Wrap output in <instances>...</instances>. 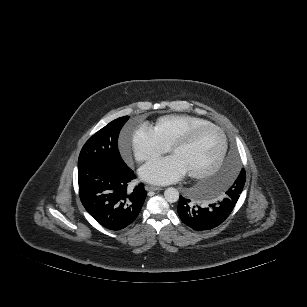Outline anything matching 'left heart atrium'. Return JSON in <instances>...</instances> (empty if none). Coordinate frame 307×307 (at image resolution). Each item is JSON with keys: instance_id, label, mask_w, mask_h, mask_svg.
Here are the masks:
<instances>
[{"instance_id": "left-heart-atrium-1", "label": "left heart atrium", "mask_w": 307, "mask_h": 307, "mask_svg": "<svg viewBox=\"0 0 307 307\" xmlns=\"http://www.w3.org/2000/svg\"><path fill=\"white\" fill-rule=\"evenodd\" d=\"M186 173L184 166L174 156L149 162L139 170L141 179L155 184H167L178 181Z\"/></svg>"}]
</instances>
